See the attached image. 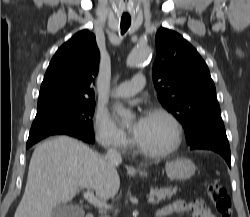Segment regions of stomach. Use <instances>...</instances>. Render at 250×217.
<instances>
[{"instance_id":"obj_1","label":"stomach","mask_w":250,"mask_h":217,"mask_svg":"<svg viewBox=\"0 0 250 217\" xmlns=\"http://www.w3.org/2000/svg\"><path fill=\"white\" fill-rule=\"evenodd\" d=\"M195 171V164L186 158L176 159L165 166L167 176L174 180H187L195 174ZM141 175L146 176V174Z\"/></svg>"}]
</instances>
